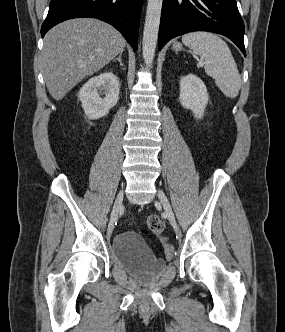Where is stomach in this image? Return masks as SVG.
Returning <instances> with one entry per match:
<instances>
[{
    "instance_id": "stomach-1",
    "label": "stomach",
    "mask_w": 285,
    "mask_h": 332,
    "mask_svg": "<svg viewBox=\"0 0 285 332\" xmlns=\"http://www.w3.org/2000/svg\"><path fill=\"white\" fill-rule=\"evenodd\" d=\"M173 49L176 50V51H180L182 49V45L178 42H175L173 44Z\"/></svg>"
}]
</instances>
